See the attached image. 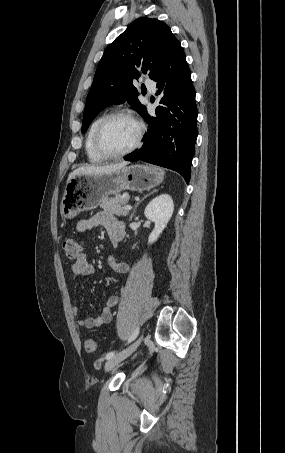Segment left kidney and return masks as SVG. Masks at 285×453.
Segmentation results:
<instances>
[{"label": "left kidney", "mask_w": 285, "mask_h": 453, "mask_svg": "<svg viewBox=\"0 0 285 453\" xmlns=\"http://www.w3.org/2000/svg\"><path fill=\"white\" fill-rule=\"evenodd\" d=\"M173 211L174 203L168 194L157 196L147 205L144 214L147 219L155 223V227L148 238L149 244L157 241L172 217Z\"/></svg>", "instance_id": "5707ae66"}]
</instances>
